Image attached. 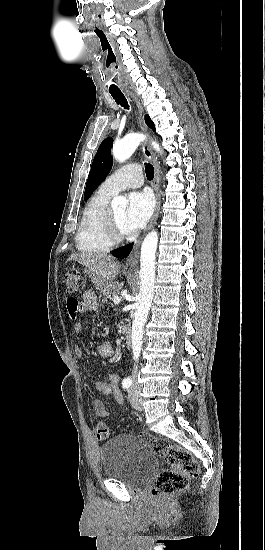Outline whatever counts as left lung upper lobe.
<instances>
[{"instance_id":"5c2ea615","label":"left lung upper lobe","mask_w":265,"mask_h":550,"mask_svg":"<svg viewBox=\"0 0 265 550\" xmlns=\"http://www.w3.org/2000/svg\"><path fill=\"white\" fill-rule=\"evenodd\" d=\"M145 122L148 127L155 130L154 123L148 115L145 116ZM113 140L105 139L99 146L94 157L91 170L87 179L84 200L86 201L98 185L107 177L112 168L111 147Z\"/></svg>"}]
</instances>
